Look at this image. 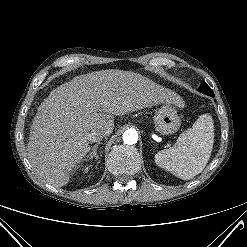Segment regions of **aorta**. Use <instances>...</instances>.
Segmentation results:
<instances>
[{"instance_id": "aorta-1", "label": "aorta", "mask_w": 247, "mask_h": 247, "mask_svg": "<svg viewBox=\"0 0 247 247\" xmlns=\"http://www.w3.org/2000/svg\"><path fill=\"white\" fill-rule=\"evenodd\" d=\"M138 140L137 131L134 129H128L123 133V141L127 145H133Z\"/></svg>"}]
</instances>
